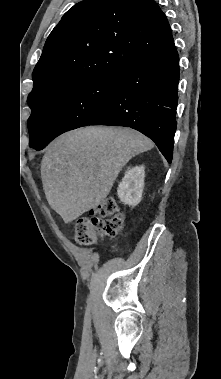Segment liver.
<instances>
[{
  "mask_svg": "<svg viewBox=\"0 0 221 379\" xmlns=\"http://www.w3.org/2000/svg\"><path fill=\"white\" fill-rule=\"evenodd\" d=\"M153 142L130 128L86 127L67 132L41 161L46 199L65 223L103 202L122 167Z\"/></svg>",
  "mask_w": 221,
  "mask_h": 379,
  "instance_id": "obj_1",
  "label": "liver"
}]
</instances>
